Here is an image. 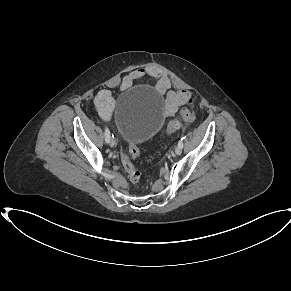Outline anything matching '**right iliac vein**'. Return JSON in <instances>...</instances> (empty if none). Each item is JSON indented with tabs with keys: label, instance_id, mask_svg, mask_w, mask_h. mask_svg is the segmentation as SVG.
Wrapping results in <instances>:
<instances>
[{
	"label": "right iliac vein",
	"instance_id": "right-iliac-vein-1",
	"mask_svg": "<svg viewBox=\"0 0 291 291\" xmlns=\"http://www.w3.org/2000/svg\"><path fill=\"white\" fill-rule=\"evenodd\" d=\"M109 144H110L111 147H114L115 146L116 143H115V141H114L113 138H110Z\"/></svg>",
	"mask_w": 291,
	"mask_h": 291
}]
</instances>
